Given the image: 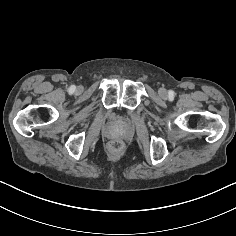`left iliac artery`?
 <instances>
[{
    "label": "left iliac artery",
    "mask_w": 236,
    "mask_h": 236,
    "mask_svg": "<svg viewBox=\"0 0 236 236\" xmlns=\"http://www.w3.org/2000/svg\"><path fill=\"white\" fill-rule=\"evenodd\" d=\"M169 95H173V92H172V91H170V92H169Z\"/></svg>",
    "instance_id": "left-iliac-artery-1"
}]
</instances>
